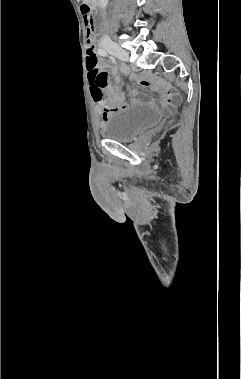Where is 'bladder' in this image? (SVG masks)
I'll return each mask as SVG.
<instances>
[{
	"label": "bladder",
	"mask_w": 241,
	"mask_h": 379,
	"mask_svg": "<svg viewBox=\"0 0 241 379\" xmlns=\"http://www.w3.org/2000/svg\"><path fill=\"white\" fill-rule=\"evenodd\" d=\"M162 113L151 106L136 105L111 113L100 127L103 138L126 143L157 125Z\"/></svg>",
	"instance_id": "bladder-1"
}]
</instances>
